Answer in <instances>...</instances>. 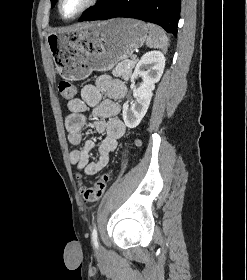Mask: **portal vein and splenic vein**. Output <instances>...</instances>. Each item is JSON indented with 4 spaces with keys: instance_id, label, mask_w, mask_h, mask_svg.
Returning <instances> with one entry per match:
<instances>
[{
    "instance_id": "obj_1",
    "label": "portal vein and splenic vein",
    "mask_w": 247,
    "mask_h": 280,
    "mask_svg": "<svg viewBox=\"0 0 247 280\" xmlns=\"http://www.w3.org/2000/svg\"><path fill=\"white\" fill-rule=\"evenodd\" d=\"M136 58H137V56H136V55H133V56H132V59H133V60H135Z\"/></svg>"
}]
</instances>
